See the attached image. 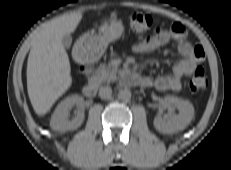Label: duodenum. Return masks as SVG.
Returning <instances> with one entry per match:
<instances>
[{"instance_id":"410a0bca","label":"duodenum","mask_w":231,"mask_h":170,"mask_svg":"<svg viewBox=\"0 0 231 170\" xmlns=\"http://www.w3.org/2000/svg\"><path fill=\"white\" fill-rule=\"evenodd\" d=\"M78 59L81 61H86L84 56H78ZM91 74V67L88 65L86 69V75L91 76ZM124 80L128 83L136 84L139 83V76L135 72L128 70L124 76ZM99 85L100 83L98 78L91 77L88 84L83 89L85 96L88 98H93L97 94Z\"/></svg>"}]
</instances>
